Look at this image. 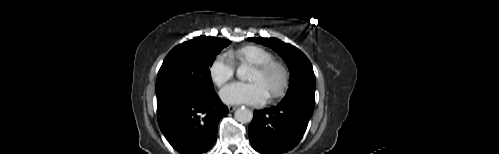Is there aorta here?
<instances>
[{
    "mask_svg": "<svg viewBox=\"0 0 499 154\" xmlns=\"http://www.w3.org/2000/svg\"><path fill=\"white\" fill-rule=\"evenodd\" d=\"M249 68L246 65H241L237 69V76L241 80L248 79ZM253 118V113L247 108H240L235 112V119L241 123H249Z\"/></svg>",
    "mask_w": 499,
    "mask_h": 154,
    "instance_id": "762f6f07",
    "label": "aorta"
}]
</instances>
